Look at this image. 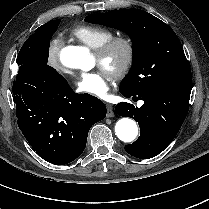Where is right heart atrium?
<instances>
[{
	"label": "right heart atrium",
	"mask_w": 209,
	"mask_h": 209,
	"mask_svg": "<svg viewBox=\"0 0 209 209\" xmlns=\"http://www.w3.org/2000/svg\"><path fill=\"white\" fill-rule=\"evenodd\" d=\"M63 46V40L59 36L52 37L46 48V61L47 64L55 71H63L60 62V51Z\"/></svg>",
	"instance_id": "right-heart-atrium-1"
}]
</instances>
